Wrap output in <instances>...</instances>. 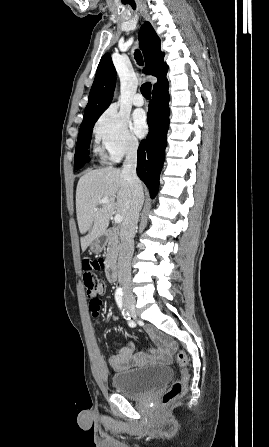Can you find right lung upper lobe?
Instances as JSON below:
<instances>
[{"instance_id":"right-lung-upper-lobe-1","label":"right lung upper lobe","mask_w":269,"mask_h":447,"mask_svg":"<svg viewBox=\"0 0 269 447\" xmlns=\"http://www.w3.org/2000/svg\"><path fill=\"white\" fill-rule=\"evenodd\" d=\"M138 37L146 63L144 72L158 78L166 75L168 66L163 64L164 53L160 49L161 41L149 22H145L141 27ZM115 81L116 70L111 56L105 54L98 65L80 128L96 122L108 108L112 101Z\"/></svg>"}]
</instances>
